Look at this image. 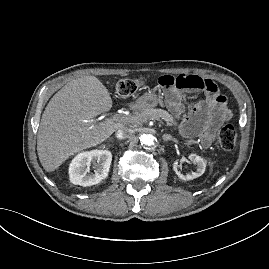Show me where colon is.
I'll list each match as a JSON object with an SVG mask.
<instances>
[{
  "mask_svg": "<svg viewBox=\"0 0 269 269\" xmlns=\"http://www.w3.org/2000/svg\"><path fill=\"white\" fill-rule=\"evenodd\" d=\"M144 80L142 78L123 79L118 82L116 91L121 96H132L136 94L142 87ZM183 87V86H182ZM237 141V132L235 128L230 125L222 126L217 133V142L224 150H232Z\"/></svg>",
  "mask_w": 269,
  "mask_h": 269,
  "instance_id": "5ec220e1",
  "label": "colon"
}]
</instances>
